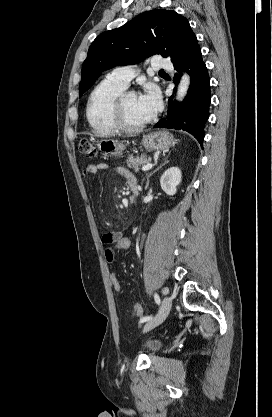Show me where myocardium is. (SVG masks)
<instances>
[{
    "mask_svg": "<svg viewBox=\"0 0 272 417\" xmlns=\"http://www.w3.org/2000/svg\"><path fill=\"white\" fill-rule=\"evenodd\" d=\"M131 93L132 92H129V91H123L115 99L113 107H112V113H111L112 123L117 130L122 131V132H137V131L144 129L146 126H148L152 122V118L138 125H131L126 122L124 118V101L126 97Z\"/></svg>",
    "mask_w": 272,
    "mask_h": 417,
    "instance_id": "f54148a6",
    "label": "myocardium"
}]
</instances>
